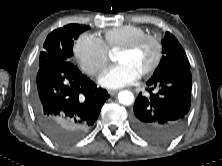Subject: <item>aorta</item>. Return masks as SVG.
Segmentation results:
<instances>
[{"label": "aorta", "instance_id": "obj_1", "mask_svg": "<svg viewBox=\"0 0 222 166\" xmlns=\"http://www.w3.org/2000/svg\"><path fill=\"white\" fill-rule=\"evenodd\" d=\"M118 100L123 105H131L134 101V95L131 91L123 90L119 92Z\"/></svg>", "mask_w": 222, "mask_h": 166}]
</instances>
